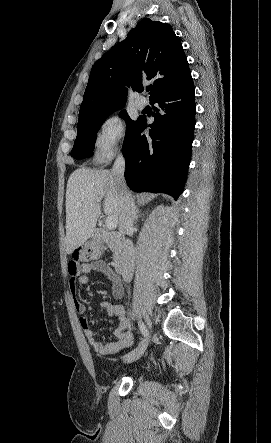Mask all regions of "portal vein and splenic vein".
Masks as SVG:
<instances>
[{
  "instance_id": "18ae733b",
  "label": "portal vein and splenic vein",
  "mask_w": 271,
  "mask_h": 443,
  "mask_svg": "<svg viewBox=\"0 0 271 443\" xmlns=\"http://www.w3.org/2000/svg\"><path fill=\"white\" fill-rule=\"evenodd\" d=\"M97 202H99V200H97ZM105 225L108 229H115V227H117V220H115V218H109L108 216L105 220Z\"/></svg>"
}]
</instances>
